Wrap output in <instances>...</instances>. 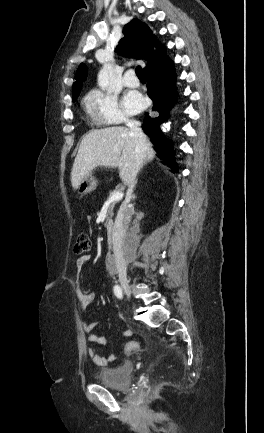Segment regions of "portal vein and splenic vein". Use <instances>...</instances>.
Returning a JSON list of instances; mask_svg holds the SVG:
<instances>
[{
    "label": "portal vein and splenic vein",
    "instance_id": "portal-vein-and-splenic-vein-1",
    "mask_svg": "<svg viewBox=\"0 0 264 433\" xmlns=\"http://www.w3.org/2000/svg\"><path fill=\"white\" fill-rule=\"evenodd\" d=\"M123 193L122 192H120V191H117V192H115V193H113V195L110 197V201H119V200H122V198H123Z\"/></svg>",
    "mask_w": 264,
    "mask_h": 433
}]
</instances>
